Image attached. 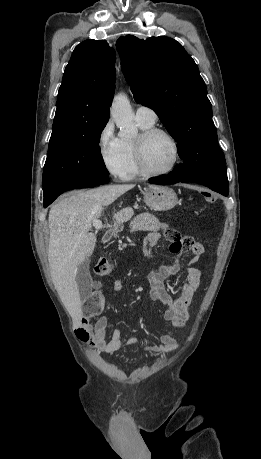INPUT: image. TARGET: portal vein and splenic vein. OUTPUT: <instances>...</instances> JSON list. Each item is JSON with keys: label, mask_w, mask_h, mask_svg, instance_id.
<instances>
[{"label": "portal vein and splenic vein", "mask_w": 261, "mask_h": 459, "mask_svg": "<svg viewBox=\"0 0 261 459\" xmlns=\"http://www.w3.org/2000/svg\"><path fill=\"white\" fill-rule=\"evenodd\" d=\"M93 226H94L95 229H98V230L104 228V225H103L102 221L99 220V219H94L93 220Z\"/></svg>", "instance_id": "1"}]
</instances>
